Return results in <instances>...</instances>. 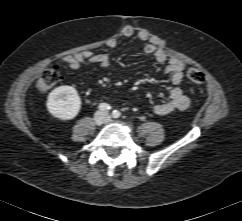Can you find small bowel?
<instances>
[{
  "instance_id": "obj_1",
  "label": "small bowel",
  "mask_w": 242,
  "mask_h": 221,
  "mask_svg": "<svg viewBox=\"0 0 242 221\" xmlns=\"http://www.w3.org/2000/svg\"><path fill=\"white\" fill-rule=\"evenodd\" d=\"M124 36L136 35L140 40L146 42L144 51L153 56L156 62L166 64L164 74L169 75L172 83L175 85L169 93V99L166 102L157 103L153 111L157 115H167L177 110H185L190 106V99L184 94L178 86L184 76L185 64L174 57H169L165 51L156 43L150 40V36L143 30H135L127 27L123 30ZM117 48V41L109 39L104 46L97 51H83L74 55H68L61 59L62 65L69 69H78L80 66L89 63H96L101 68H107L112 60V55Z\"/></svg>"
}]
</instances>
